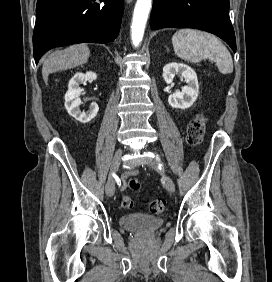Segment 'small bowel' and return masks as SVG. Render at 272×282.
Listing matches in <instances>:
<instances>
[{
	"label": "small bowel",
	"mask_w": 272,
	"mask_h": 282,
	"mask_svg": "<svg viewBox=\"0 0 272 282\" xmlns=\"http://www.w3.org/2000/svg\"><path fill=\"white\" fill-rule=\"evenodd\" d=\"M134 174H136V171L135 170H130V171H128L127 173H125V174H123L122 176H121V179H122V185H121V187H122V189H126V183H125V181H126V179L129 177V176H132V175H134Z\"/></svg>",
	"instance_id": "small-bowel-1"
}]
</instances>
